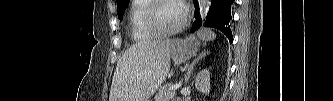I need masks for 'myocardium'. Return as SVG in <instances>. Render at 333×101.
Listing matches in <instances>:
<instances>
[{
    "mask_svg": "<svg viewBox=\"0 0 333 101\" xmlns=\"http://www.w3.org/2000/svg\"><path fill=\"white\" fill-rule=\"evenodd\" d=\"M166 2H175V1H169V0L152 1L145 12V16H144L145 25L156 36H170V35L177 34L181 30H183L188 23V13L186 10H183L184 11L183 18H182L181 22L175 28L170 29V30L162 29L158 23L157 11H158L159 7Z\"/></svg>",
    "mask_w": 333,
    "mask_h": 101,
    "instance_id": "myocardium-1",
    "label": "myocardium"
}]
</instances>
